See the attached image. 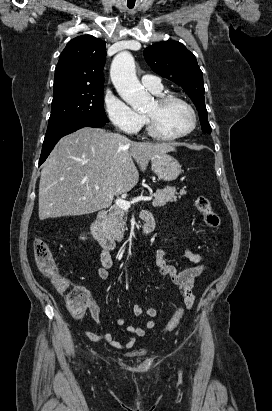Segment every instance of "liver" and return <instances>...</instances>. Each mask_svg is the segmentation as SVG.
Segmentation results:
<instances>
[{
	"instance_id": "liver-1",
	"label": "liver",
	"mask_w": 272,
	"mask_h": 411,
	"mask_svg": "<svg viewBox=\"0 0 272 411\" xmlns=\"http://www.w3.org/2000/svg\"><path fill=\"white\" fill-rule=\"evenodd\" d=\"M173 150L170 144L133 142L90 127L63 137L41 171L39 219L79 216L109 207L114 196L138 183L133 159L145 171L151 158Z\"/></svg>"
}]
</instances>
